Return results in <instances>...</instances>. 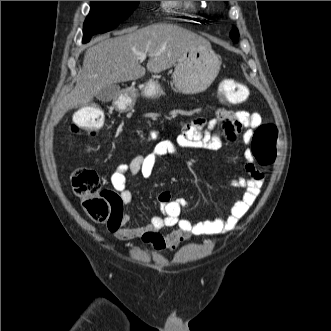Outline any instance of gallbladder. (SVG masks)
Returning <instances> with one entry per match:
<instances>
[{"mask_svg":"<svg viewBox=\"0 0 331 331\" xmlns=\"http://www.w3.org/2000/svg\"><path fill=\"white\" fill-rule=\"evenodd\" d=\"M121 94L120 87L117 84L106 85L98 91L96 98L102 102H109L118 98Z\"/></svg>","mask_w":331,"mask_h":331,"instance_id":"1","label":"gallbladder"}]
</instances>
